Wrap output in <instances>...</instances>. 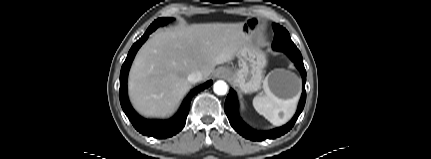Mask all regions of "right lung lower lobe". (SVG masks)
I'll return each mask as SVG.
<instances>
[{
  "instance_id": "1",
  "label": "right lung lower lobe",
  "mask_w": 431,
  "mask_h": 159,
  "mask_svg": "<svg viewBox=\"0 0 431 159\" xmlns=\"http://www.w3.org/2000/svg\"><path fill=\"white\" fill-rule=\"evenodd\" d=\"M155 30V28L149 27L145 34L133 44L131 47L128 56L125 62L122 65L121 73H120V90L119 97L122 109L132 125L135 127L137 131H139L143 135H147L149 137L165 139L168 137H172L177 134L179 131L183 129L186 123V118L189 113L190 102L194 95L198 92L208 88L212 81H208L199 87L193 89L188 96L184 99L182 106L179 112L169 120H147L139 116L128 100L127 96V76L129 72V68L131 63L137 53L138 49L141 45L147 40L148 36Z\"/></svg>"
}]
</instances>
